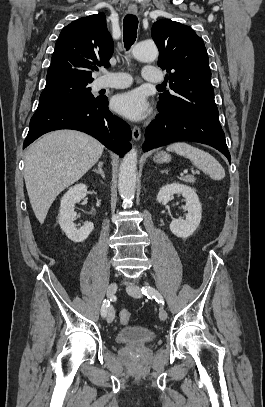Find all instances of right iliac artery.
<instances>
[{
  "label": "right iliac artery",
  "instance_id": "right-iliac-artery-1",
  "mask_svg": "<svg viewBox=\"0 0 265 407\" xmlns=\"http://www.w3.org/2000/svg\"><path fill=\"white\" fill-rule=\"evenodd\" d=\"M109 305H110V301L105 299V300L103 301V304H102V307H101V315H102L103 317L106 316V314H107V309H108Z\"/></svg>",
  "mask_w": 265,
  "mask_h": 407
}]
</instances>
